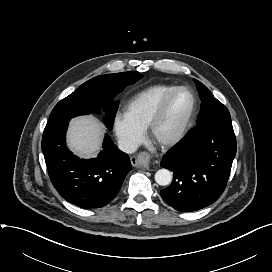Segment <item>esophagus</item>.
<instances>
[{"label": "esophagus", "instance_id": "1", "mask_svg": "<svg viewBox=\"0 0 272 272\" xmlns=\"http://www.w3.org/2000/svg\"><path fill=\"white\" fill-rule=\"evenodd\" d=\"M138 167L142 169H149L151 166L150 156L147 152H141L135 157Z\"/></svg>", "mask_w": 272, "mask_h": 272}]
</instances>
